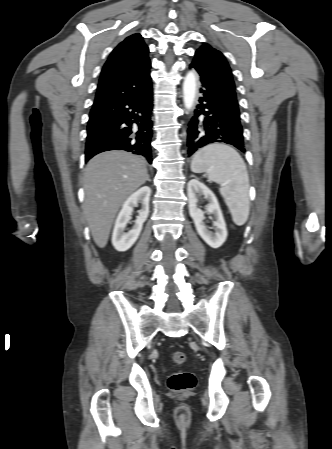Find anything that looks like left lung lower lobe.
<instances>
[{"label":"left lung lower lobe","mask_w":332,"mask_h":449,"mask_svg":"<svg viewBox=\"0 0 332 449\" xmlns=\"http://www.w3.org/2000/svg\"><path fill=\"white\" fill-rule=\"evenodd\" d=\"M190 68L197 73L201 97L188 124V156L211 143L230 144L245 152L235 89L194 64Z\"/></svg>","instance_id":"obj_1"}]
</instances>
